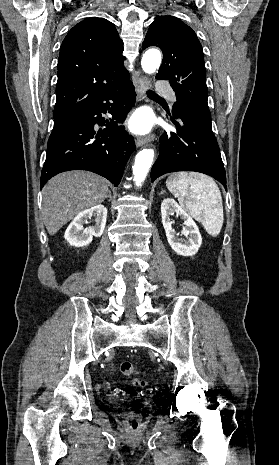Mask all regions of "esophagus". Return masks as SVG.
Returning a JSON list of instances; mask_svg holds the SVG:
<instances>
[{
    "instance_id": "esophagus-1",
    "label": "esophagus",
    "mask_w": 279,
    "mask_h": 465,
    "mask_svg": "<svg viewBox=\"0 0 279 465\" xmlns=\"http://www.w3.org/2000/svg\"><path fill=\"white\" fill-rule=\"evenodd\" d=\"M150 87V81L148 77H140L137 82V92L140 99H144L146 96V91ZM154 140V135H149L147 137H138L136 139V146L140 147Z\"/></svg>"
}]
</instances>
